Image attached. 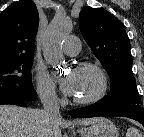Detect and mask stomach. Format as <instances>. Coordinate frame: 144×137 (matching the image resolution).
Here are the masks:
<instances>
[{
    "instance_id": "1",
    "label": "stomach",
    "mask_w": 144,
    "mask_h": 137,
    "mask_svg": "<svg viewBox=\"0 0 144 137\" xmlns=\"http://www.w3.org/2000/svg\"><path fill=\"white\" fill-rule=\"evenodd\" d=\"M81 137H119L117 127L109 120L100 118L88 127L79 130Z\"/></svg>"
}]
</instances>
